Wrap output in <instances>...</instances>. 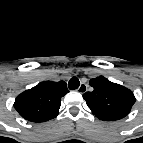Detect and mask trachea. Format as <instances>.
<instances>
[{"label":"trachea","instance_id":"1","mask_svg":"<svg viewBox=\"0 0 143 143\" xmlns=\"http://www.w3.org/2000/svg\"><path fill=\"white\" fill-rule=\"evenodd\" d=\"M79 85H80V82L77 77H72L68 82V87L71 90L77 89L79 87Z\"/></svg>","mask_w":143,"mask_h":143}]
</instances>
